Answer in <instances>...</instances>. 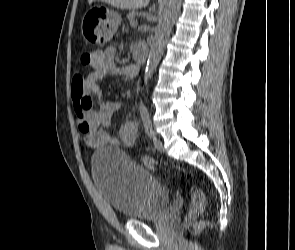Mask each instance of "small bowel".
<instances>
[{"instance_id": "c3829d8e", "label": "small bowel", "mask_w": 295, "mask_h": 250, "mask_svg": "<svg viewBox=\"0 0 295 250\" xmlns=\"http://www.w3.org/2000/svg\"><path fill=\"white\" fill-rule=\"evenodd\" d=\"M89 65L92 71L86 76L76 74L72 80V100L77 115L78 128L83 135V141L88 147H102L114 145L117 140L113 138L106 128L110 125L113 115L118 111V102L103 100L98 81L111 75H122L131 79L137 72L134 64L118 67L116 64V49L107 47L92 52ZM93 97H96L99 108H94ZM135 138L133 125H126L121 130V140L130 144Z\"/></svg>"}]
</instances>
